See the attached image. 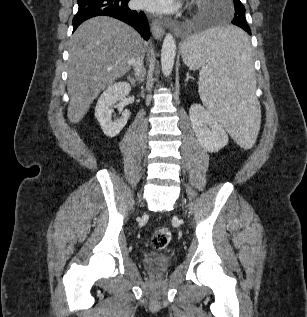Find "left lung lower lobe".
<instances>
[{
    "label": "left lung lower lobe",
    "instance_id": "0a47b994",
    "mask_svg": "<svg viewBox=\"0 0 307 317\" xmlns=\"http://www.w3.org/2000/svg\"><path fill=\"white\" fill-rule=\"evenodd\" d=\"M234 24V23H233ZM234 25H237V24H234ZM237 26L241 27L243 30H245L249 35H251V30L249 28V26L247 25H242V24H238ZM224 42L226 43V45L232 49V50H241L243 49L247 43L249 42L248 41V38L246 36V34H241V35H238V36H230V37H226L224 39Z\"/></svg>",
    "mask_w": 307,
    "mask_h": 317
}]
</instances>
